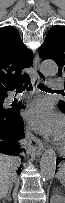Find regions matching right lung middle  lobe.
Segmentation results:
<instances>
[{
    "instance_id": "1",
    "label": "right lung middle lobe",
    "mask_w": 65,
    "mask_h": 203,
    "mask_svg": "<svg viewBox=\"0 0 65 203\" xmlns=\"http://www.w3.org/2000/svg\"><path fill=\"white\" fill-rule=\"evenodd\" d=\"M2 105H3V101L2 100H0V109L1 110H3L4 108L2 107Z\"/></svg>"
}]
</instances>
